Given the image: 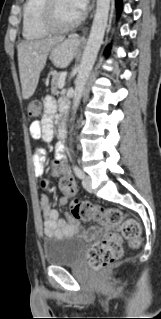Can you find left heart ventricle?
Wrapping results in <instances>:
<instances>
[{"label": "left heart ventricle", "mask_w": 161, "mask_h": 319, "mask_svg": "<svg viewBox=\"0 0 161 319\" xmlns=\"http://www.w3.org/2000/svg\"><path fill=\"white\" fill-rule=\"evenodd\" d=\"M70 0H58L56 5V22L59 25H66L79 16Z\"/></svg>", "instance_id": "1"}]
</instances>
